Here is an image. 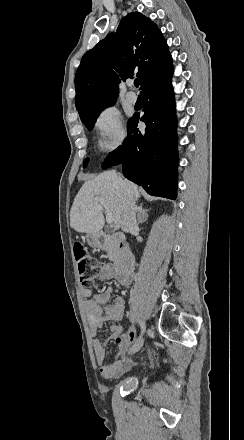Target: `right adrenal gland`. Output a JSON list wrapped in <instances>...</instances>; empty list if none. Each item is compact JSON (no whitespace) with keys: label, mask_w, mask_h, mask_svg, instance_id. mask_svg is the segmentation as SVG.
Segmentation results:
<instances>
[{"label":"right adrenal gland","mask_w":244,"mask_h":440,"mask_svg":"<svg viewBox=\"0 0 244 440\" xmlns=\"http://www.w3.org/2000/svg\"><path fill=\"white\" fill-rule=\"evenodd\" d=\"M136 212H138L137 222H138V224H142L139 216H141V214H143V216H147V212H149V210H144L143 204H140V206H136Z\"/></svg>","instance_id":"obj_1"}]
</instances>
